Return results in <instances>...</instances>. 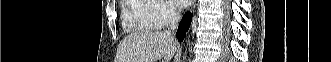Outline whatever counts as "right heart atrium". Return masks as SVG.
<instances>
[{
    "label": "right heart atrium",
    "mask_w": 331,
    "mask_h": 62,
    "mask_svg": "<svg viewBox=\"0 0 331 62\" xmlns=\"http://www.w3.org/2000/svg\"><path fill=\"white\" fill-rule=\"evenodd\" d=\"M151 6L149 16L150 24L158 29L174 21L177 16V10L165 0H145Z\"/></svg>",
    "instance_id": "obj_1"
}]
</instances>
